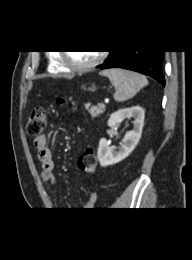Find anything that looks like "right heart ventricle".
Segmentation results:
<instances>
[{"label":"right heart ventricle","mask_w":192,"mask_h":260,"mask_svg":"<svg viewBox=\"0 0 192 260\" xmlns=\"http://www.w3.org/2000/svg\"><path fill=\"white\" fill-rule=\"evenodd\" d=\"M48 69L52 73H67V69L60 60V55L58 53H52L49 55V65Z\"/></svg>","instance_id":"right-heart-ventricle-1"}]
</instances>
